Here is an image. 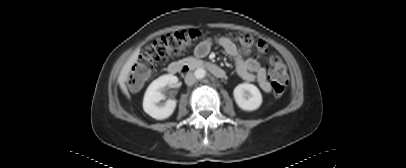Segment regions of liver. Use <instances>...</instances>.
Wrapping results in <instances>:
<instances>
[{
    "label": "liver",
    "instance_id": "6515ba94",
    "mask_svg": "<svg viewBox=\"0 0 406 168\" xmlns=\"http://www.w3.org/2000/svg\"><path fill=\"white\" fill-rule=\"evenodd\" d=\"M138 55H139V52L137 51V52H135V53H133L130 57H129V59L127 60V62L125 63V65L123 66V68L121 69V71H120V74H119V76H118V83H119V86H120V89L122 90V92L129 98V93H128V90H127V87H126V85H125V82L127 81V79H128V76H129V73H130V71H131V68H132V66L134 65V63L137 61V59H138Z\"/></svg>",
    "mask_w": 406,
    "mask_h": 168
}]
</instances>
